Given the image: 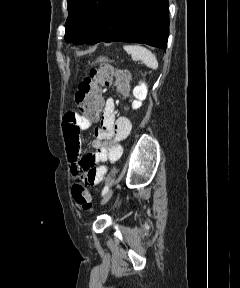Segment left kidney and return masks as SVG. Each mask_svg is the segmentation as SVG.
I'll use <instances>...</instances> for the list:
<instances>
[{"label":"left kidney","mask_w":240,"mask_h":288,"mask_svg":"<svg viewBox=\"0 0 240 288\" xmlns=\"http://www.w3.org/2000/svg\"><path fill=\"white\" fill-rule=\"evenodd\" d=\"M147 92L148 90L145 83H140V85L136 86L133 89V95L136 98V100L132 102L133 109H138L141 107L142 101L145 100L147 97Z\"/></svg>","instance_id":"left-kidney-1"}]
</instances>
